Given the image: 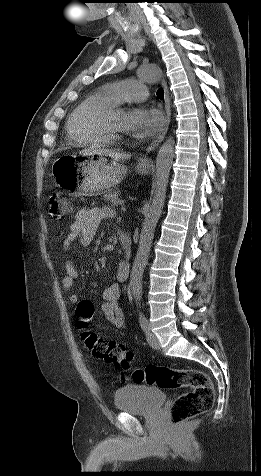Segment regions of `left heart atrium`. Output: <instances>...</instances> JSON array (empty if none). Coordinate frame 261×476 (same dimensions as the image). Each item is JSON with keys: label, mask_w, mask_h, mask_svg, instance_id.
<instances>
[{"label": "left heart atrium", "mask_w": 261, "mask_h": 476, "mask_svg": "<svg viewBox=\"0 0 261 476\" xmlns=\"http://www.w3.org/2000/svg\"><path fill=\"white\" fill-rule=\"evenodd\" d=\"M163 124L161 113L154 108L138 107L127 113L125 126L128 133L147 138L156 134Z\"/></svg>", "instance_id": "left-heart-atrium-1"}]
</instances>
